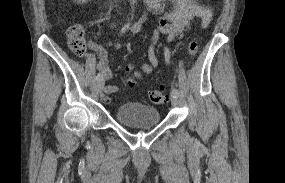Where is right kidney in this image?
Returning <instances> with one entry per match:
<instances>
[{"label": "right kidney", "instance_id": "1", "mask_svg": "<svg viewBox=\"0 0 285 183\" xmlns=\"http://www.w3.org/2000/svg\"><path fill=\"white\" fill-rule=\"evenodd\" d=\"M74 2H76L77 4H83L86 3L88 0H73Z\"/></svg>", "mask_w": 285, "mask_h": 183}]
</instances>
